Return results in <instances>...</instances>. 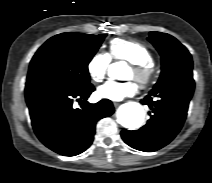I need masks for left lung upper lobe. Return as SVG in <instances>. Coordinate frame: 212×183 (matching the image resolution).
<instances>
[{
	"instance_id": "1",
	"label": "left lung upper lobe",
	"mask_w": 212,
	"mask_h": 183,
	"mask_svg": "<svg viewBox=\"0 0 212 183\" xmlns=\"http://www.w3.org/2000/svg\"><path fill=\"white\" fill-rule=\"evenodd\" d=\"M148 40L161 55L162 72L155 86L179 74L192 72L191 54L176 38L166 33L150 32Z\"/></svg>"
}]
</instances>
